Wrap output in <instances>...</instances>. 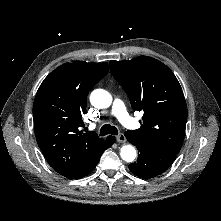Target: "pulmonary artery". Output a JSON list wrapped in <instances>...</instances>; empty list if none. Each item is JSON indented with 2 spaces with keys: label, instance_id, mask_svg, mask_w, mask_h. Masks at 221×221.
<instances>
[{
  "label": "pulmonary artery",
  "instance_id": "1",
  "mask_svg": "<svg viewBox=\"0 0 221 221\" xmlns=\"http://www.w3.org/2000/svg\"><path fill=\"white\" fill-rule=\"evenodd\" d=\"M112 114L126 127L136 128V121L129 116L124 103L120 99H115L112 105Z\"/></svg>",
  "mask_w": 221,
  "mask_h": 221
}]
</instances>
